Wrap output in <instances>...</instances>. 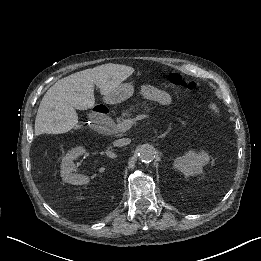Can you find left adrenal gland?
Here are the masks:
<instances>
[{"mask_svg": "<svg viewBox=\"0 0 261 261\" xmlns=\"http://www.w3.org/2000/svg\"><path fill=\"white\" fill-rule=\"evenodd\" d=\"M169 133V131H165L163 134L159 135L158 138H164Z\"/></svg>", "mask_w": 261, "mask_h": 261, "instance_id": "1", "label": "left adrenal gland"}]
</instances>
